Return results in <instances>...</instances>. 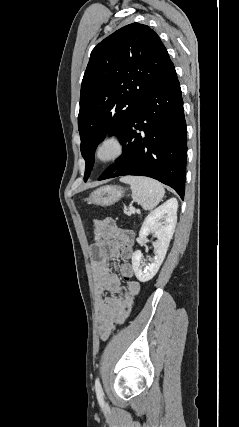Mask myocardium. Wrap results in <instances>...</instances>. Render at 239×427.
<instances>
[{"label":"myocardium","mask_w":239,"mask_h":427,"mask_svg":"<svg viewBox=\"0 0 239 427\" xmlns=\"http://www.w3.org/2000/svg\"><path fill=\"white\" fill-rule=\"evenodd\" d=\"M113 146V153L110 156L104 157L101 155V150L106 146ZM126 151V143L122 135L116 132H110L103 135L94 147V158L102 164H109L119 160Z\"/></svg>","instance_id":"myocardium-1"}]
</instances>
